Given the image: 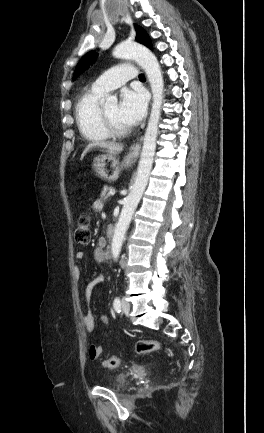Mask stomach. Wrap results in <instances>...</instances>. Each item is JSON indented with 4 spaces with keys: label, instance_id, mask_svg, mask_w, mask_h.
Wrapping results in <instances>:
<instances>
[{
    "label": "stomach",
    "instance_id": "1",
    "mask_svg": "<svg viewBox=\"0 0 264 433\" xmlns=\"http://www.w3.org/2000/svg\"><path fill=\"white\" fill-rule=\"evenodd\" d=\"M132 164L133 160L125 159L120 163L114 155L103 154L94 157L92 168L98 177L113 182L118 179L123 168H129Z\"/></svg>",
    "mask_w": 264,
    "mask_h": 433
}]
</instances>
